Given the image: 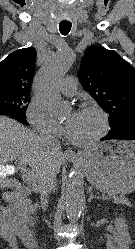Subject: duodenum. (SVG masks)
Instances as JSON below:
<instances>
[{"instance_id": "duodenum-1", "label": "duodenum", "mask_w": 135, "mask_h": 249, "mask_svg": "<svg viewBox=\"0 0 135 249\" xmlns=\"http://www.w3.org/2000/svg\"><path fill=\"white\" fill-rule=\"evenodd\" d=\"M27 199V192L22 188L5 194V200L12 204L10 207H13L16 210L17 215L18 212H23L24 215L27 216V214L24 212ZM28 243H30L34 248H38L40 246V239L36 235L35 238L28 241Z\"/></svg>"}]
</instances>
